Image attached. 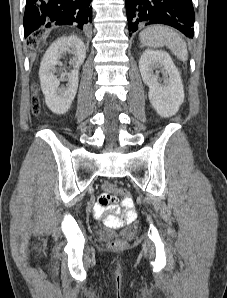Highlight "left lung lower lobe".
Listing matches in <instances>:
<instances>
[{
  "instance_id": "left-lung-lower-lobe-1",
  "label": "left lung lower lobe",
  "mask_w": 227,
  "mask_h": 298,
  "mask_svg": "<svg viewBox=\"0 0 227 298\" xmlns=\"http://www.w3.org/2000/svg\"><path fill=\"white\" fill-rule=\"evenodd\" d=\"M126 12L130 32H135L143 24H166L193 37L192 0H126Z\"/></svg>"
}]
</instances>
